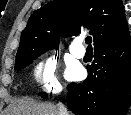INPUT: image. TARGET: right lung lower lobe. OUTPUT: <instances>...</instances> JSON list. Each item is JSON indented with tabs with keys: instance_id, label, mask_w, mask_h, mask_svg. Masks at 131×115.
<instances>
[{
	"instance_id": "right-lung-lower-lobe-1",
	"label": "right lung lower lobe",
	"mask_w": 131,
	"mask_h": 115,
	"mask_svg": "<svg viewBox=\"0 0 131 115\" xmlns=\"http://www.w3.org/2000/svg\"><path fill=\"white\" fill-rule=\"evenodd\" d=\"M94 50L86 80L68 85V109L75 115H125L130 106L131 37Z\"/></svg>"
}]
</instances>
